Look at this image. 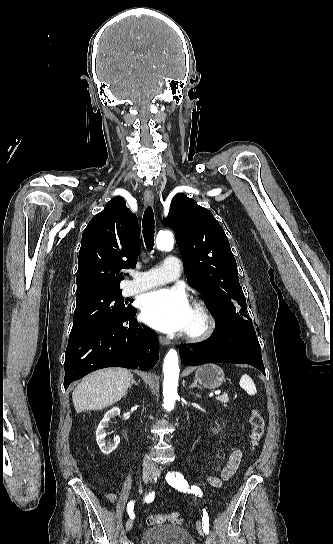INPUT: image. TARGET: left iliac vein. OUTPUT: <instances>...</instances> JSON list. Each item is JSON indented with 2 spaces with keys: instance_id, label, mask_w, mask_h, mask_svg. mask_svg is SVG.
Here are the masks:
<instances>
[{
  "instance_id": "1",
  "label": "left iliac vein",
  "mask_w": 333,
  "mask_h": 544,
  "mask_svg": "<svg viewBox=\"0 0 333 544\" xmlns=\"http://www.w3.org/2000/svg\"><path fill=\"white\" fill-rule=\"evenodd\" d=\"M159 475H160L159 471H155L154 474H153L155 479H157L159 477ZM196 528H197L199 534L201 536H204L203 526H202V522L200 520H198L196 522Z\"/></svg>"
}]
</instances>
